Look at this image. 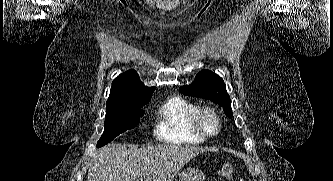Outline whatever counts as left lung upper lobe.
Returning <instances> with one entry per match:
<instances>
[{
	"label": "left lung upper lobe",
	"mask_w": 333,
	"mask_h": 181,
	"mask_svg": "<svg viewBox=\"0 0 333 181\" xmlns=\"http://www.w3.org/2000/svg\"><path fill=\"white\" fill-rule=\"evenodd\" d=\"M180 92L188 96L208 99L224 108L226 116L232 117L231 100L223 79L208 70L199 72L190 85L180 87Z\"/></svg>",
	"instance_id": "1"
}]
</instances>
